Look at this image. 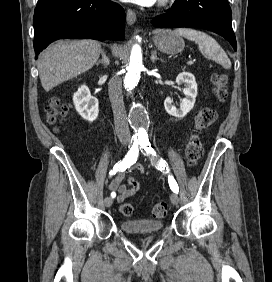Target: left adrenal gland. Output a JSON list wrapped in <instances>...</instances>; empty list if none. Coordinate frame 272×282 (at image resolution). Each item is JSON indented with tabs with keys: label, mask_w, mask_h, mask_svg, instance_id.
Segmentation results:
<instances>
[{
	"label": "left adrenal gland",
	"mask_w": 272,
	"mask_h": 282,
	"mask_svg": "<svg viewBox=\"0 0 272 282\" xmlns=\"http://www.w3.org/2000/svg\"><path fill=\"white\" fill-rule=\"evenodd\" d=\"M150 59H151V61H152L153 63H154L155 61H157V60H159V61H161V62H164L163 59L157 57V50H154V51L151 52V57H150Z\"/></svg>",
	"instance_id": "1"
}]
</instances>
